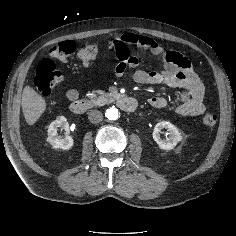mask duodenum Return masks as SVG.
<instances>
[{
	"mask_svg": "<svg viewBox=\"0 0 236 236\" xmlns=\"http://www.w3.org/2000/svg\"><path fill=\"white\" fill-rule=\"evenodd\" d=\"M116 103L120 109L125 112H134L137 109V100L129 96H119L116 99ZM98 105L95 100L78 99L71 103L70 109L75 114H82Z\"/></svg>",
	"mask_w": 236,
	"mask_h": 236,
	"instance_id": "duodenum-1",
	"label": "duodenum"
}]
</instances>
